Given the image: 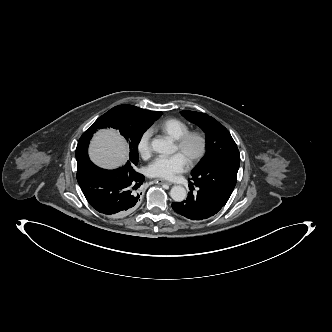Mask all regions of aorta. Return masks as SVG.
<instances>
[{"label": "aorta", "instance_id": "obj_1", "mask_svg": "<svg viewBox=\"0 0 332 332\" xmlns=\"http://www.w3.org/2000/svg\"><path fill=\"white\" fill-rule=\"evenodd\" d=\"M151 146L157 153H169L172 145L165 139L156 138L152 140ZM170 196L175 202H182L186 199L187 193L183 186H173Z\"/></svg>", "mask_w": 332, "mask_h": 332}]
</instances>
